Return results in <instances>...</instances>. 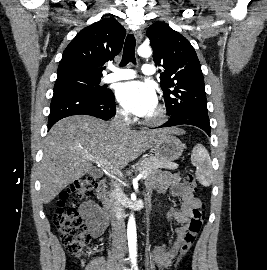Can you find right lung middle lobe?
<instances>
[{
  "label": "right lung middle lobe",
  "mask_w": 267,
  "mask_h": 270,
  "mask_svg": "<svg viewBox=\"0 0 267 270\" xmlns=\"http://www.w3.org/2000/svg\"><path fill=\"white\" fill-rule=\"evenodd\" d=\"M100 78L81 75H65L57 77L54 94L72 93L83 96L105 97L112 91L99 86Z\"/></svg>",
  "instance_id": "1"
}]
</instances>
